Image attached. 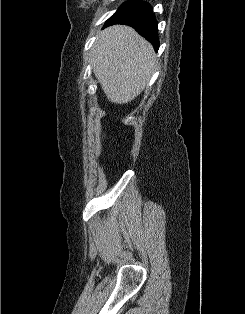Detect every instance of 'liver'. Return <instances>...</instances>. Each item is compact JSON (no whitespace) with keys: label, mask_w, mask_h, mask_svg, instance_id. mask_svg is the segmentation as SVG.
I'll return each instance as SVG.
<instances>
[{"label":"liver","mask_w":245,"mask_h":314,"mask_svg":"<svg viewBox=\"0 0 245 314\" xmlns=\"http://www.w3.org/2000/svg\"><path fill=\"white\" fill-rule=\"evenodd\" d=\"M90 63L107 99L126 104L146 88L156 54L133 28L114 25L99 33L90 50Z\"/></svg>","instance_id":"liver-1"}]
</instances>
